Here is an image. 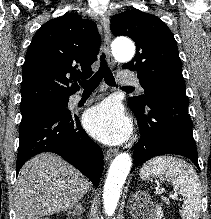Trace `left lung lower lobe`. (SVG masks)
<instances>
[{
	"label": "left lung lower lobe",
	"instance_id": "left-lung-lower-lobe-1",
	"mask_svg": "<svg viewBox=\"0 0 211 219\" xmlns=\"http://www.w3.org/2000/svg\"><path fill=\"white\" fill-rule=\"evenodd\" d=\"M133 112L138 117L141 137L134 146L132 171L145 161L164 154L185 156L199 168L185 92H152L147 95L145 107Z\"/></svg>",
	"mask_w": 211,
	"mask_h": 219
}]
</instances>
